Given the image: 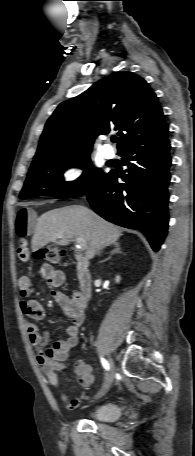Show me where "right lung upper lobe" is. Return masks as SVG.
<instances>
[{"label":"right lung upper lobe","instance_id":"obj_1","mask_svg":"<svg viewBox=\"0 0 195 456\" xmlns=\"http://www.w3.org/2000/svg\"><path fill=\"white\" fill-rule=\"evenodd\" d=\"M111 129L119 130V152L128 144L168 135L158 98L131 72L114 73L62 102L45 125L31 166L88 155L94 138Z\"/></svg>","mask_w":195,"mask_h":456}]
</instances>
